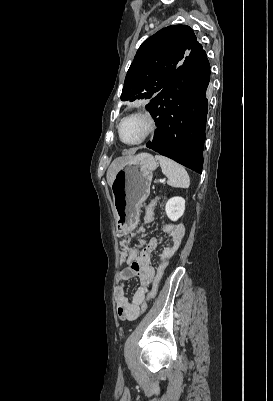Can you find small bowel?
Segmentation results:
<instances>
[{
    "label": "small bowel",
    "instance_id": "1",
    "mask_svg": "<svg viewBox=\"0 0 273 401\" xmlns=\"http://www.w3.org/2000/svg\"><path fill=\"white\" fill-rule=\"evenodd\" d=\"M151 221H154V218H151ZM166 232L171 236H178L174 234V230L171 226L166 227ZM132 240L133 235L129 234L122 242L120 259L122 262L127 263V267L119 271V284L114 290L118 316L121 319L130 321L137 319L146 310L147 301L150 298V284H140L132 298L129 299L126 293L125 283L131 279L137 278L138 271H153L155 275L150 257L159 243L155 238H151L148 241L141 239L138 245L133 247L131 245ZM177 245L178 242L175 241L172 248H166L162 254V259L166 256L170 259Z\"/></svg>",
    "mask_w": 273,
    "mask_h": 401
}]
</instances>
